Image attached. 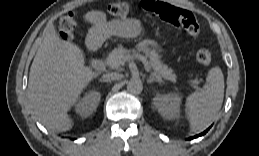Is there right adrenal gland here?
Here are the masks:
<instances>
[{
    "instance_id": "obj_1",
    "label": "right adrenal gland",
    "mask_w": 259,
    "mask_h": 156,
    "mask_svg": "<svg viewBox=\"0 0 259 156\" xmlns=\"http://www.w3.org/2000/svg\"><path fill=\"white\" fill-rule=\"evenodd\" d=\"M99 81H100V82H109V81H107V80H105V79H100Z\"/></svg>"
}]
</instances>
